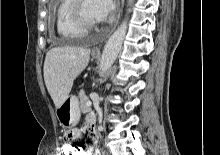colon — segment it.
Masks as SVG:
<instances>
[{"label": "colon", "instance_id": "colon-1", "mask_svg": "<svg viewBox=\"0 0 220 155\" xmlns=\"http://www.w3.org/2000/svg\"><path fill=\"white\" fill-rule=\"evenodd\" d=\"M72 146H61L62 155H81L83 148L72 142Z\"/></svg>", "mask_w": 220, "mask_h": 155}]
</instances>
